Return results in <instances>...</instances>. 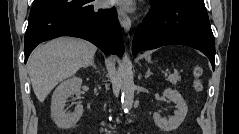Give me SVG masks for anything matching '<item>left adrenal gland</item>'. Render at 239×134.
<instances>
[{"label":"left adrenal gland","mask_w":239,"mask_h":134,"mask_svg":"<svg viewBox=\"0 0 239 134\" xmlns=\"http://www.w3.org/2000/svg\"><path fill=\"white\" fill-rule=\"evenodd\" d=\"M151 74H153V73L150 71V68H147L145 78L147 79Z\"/></svg>","instance_id":"left-adrenal-gland-1"}]
</instances>
